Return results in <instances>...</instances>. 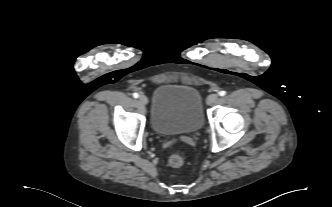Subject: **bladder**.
Here are the masks:
<instances>
[{"label":"bladder","mask_w":332,"mask_h":207,"mask_svg":"<svg viewBox=\"0 0 332 207\" xmlns=\"http://www.w3.org/2000/svg\"><path fill=\"white\" fill-rule=\"evenodd\" d=\"M204 123L200 92L188 85L162 84L153 93L151 125L162 136L192 134Z\"/></svg>","instance_id":"1"}]
</instances>
